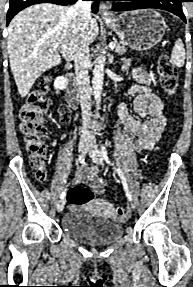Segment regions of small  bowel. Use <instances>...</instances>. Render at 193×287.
Instances as JSON below:
<instances>
[{"instance_id": "c3829d8e", "label": "small bowel", "mask_w": 193, "mask_h": 287, "mask_svg": "<svg viewBox=\"0 0 193 287\" xmlns=\"http://www.w3.org/2000/svg\"><path fill=\"white\" fill-rule=\"evenodd\" d=\"M136 84L129 90L135 99L133 114L125 103L118 108L126 143L135 151H148L158 141L166 124L164 105L161 98L151 90L150 77L144 71H135ZM67 117L70 118L69 112ZM76 182L90 186L98 194L105 191L106 184L98 176L96 166L83 164L76 173Z\"/></svg>"}]
</instances>
